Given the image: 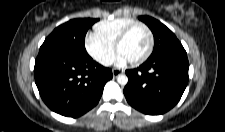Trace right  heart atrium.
I'll list each match as a JSON object with an SVG mask.
<instances>
[{"instance_id":"obj_1","label":"right heart atrium","mask_w":225,"mask_h":132,"mask_svg":"<svg viewBox=\"0 0 225 132\" xmlns=\"http://www.w3.org/2000/svg\"><path fill=\"white\" fill-rule=\"evenodd\" d=\"M85 49L92 59L103 66L110 65L114 59V46L102 42L93 34L86 37Z\"/></svg>"}]
</instances>
